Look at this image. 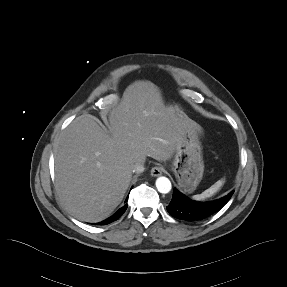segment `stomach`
I'll use <instances>...</instances> for the list:
<instances>
[{"mask_svg":"<svg viewBox=\"0 0 287 287\" xmlns=\"http://www.w3.org/2000/svg\"><path fill=\"white\" fill-rule=\"evenodd\" d=\"M175 111L179 124V140L172 160L178 185L186 193H192L202 180L204 161L198 131L191 125V119L178 106H169Z\"/></svg>","mask_w":287,"mask_h":287,"instance_id":"1","label":"stomach"}]
</instances>
